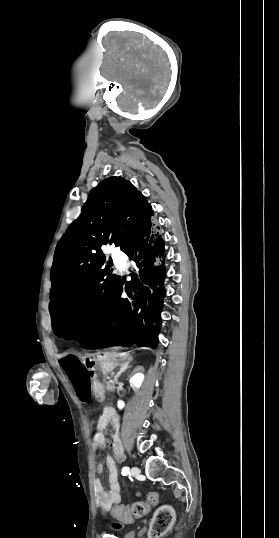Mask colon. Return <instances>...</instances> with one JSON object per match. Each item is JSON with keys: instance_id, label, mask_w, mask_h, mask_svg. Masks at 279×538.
Here are the masks:
<instances>
[{"instance_id": "obj_1", "label": "colon", "mask_w": 279, "mask_h": 538, "mask_svg": "<svg viewBox=\"0 0 279 538\" xmlns=\"http://www.w3.org/2000/svg\"><path fill=\"white\" fill-rule=\"evenodd\" d=\"M159 496L157 492H150L147 494L145 500L136 501L130 505L117 506L112 510V514L125 522H130L135 518L146 515L149 509L157 504ZM104 512L109 511V507L102 506ZM174 513L170 507H164L160 509L154 518L152 524V532L154 535H160L164 533L173 523Z\"/></svg>"}]
</instances>
